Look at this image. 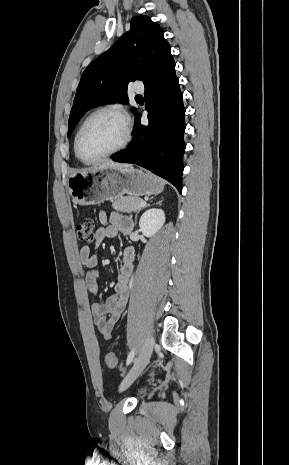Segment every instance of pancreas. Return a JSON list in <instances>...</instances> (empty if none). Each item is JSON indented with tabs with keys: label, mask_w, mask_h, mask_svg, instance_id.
<instances>
[{
	"label": "pancreas",
	"mask_w": 289,
	"mask_h": 465,
	"mask_svg": "<svg viewBox=\"0 0 289 465\" xmlns=\"http://www.w3.org/2000/svg\"><path fill=\"white\" fill-rule=\"evenodd\" d=\"M142 199L138 197H120L115 200L112 204L114 210L118 212H139L142 208L141 206Z\"/></svg>",
	"instance_id": "pancreas-1"
}]
</instances>
